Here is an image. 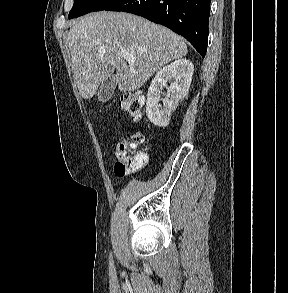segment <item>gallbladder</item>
<instances>
[{"mask_svg": "<svg viewBox=\"0 0 288 293\" xmlns=\"http://www.w3.org/2000/svg\"><path fill=\"white\" fill-rule=\"evenodd\" d=\"M116 87V78L115 75L112 74L108 79H106L100 86L98 91V100L101 102L108 101L115 90Z\"/></svg>", "mask_w": 288, "mask_h": 293, "instance_id": "bac80fb5", "label": "gallbladder"}]
</instances>
